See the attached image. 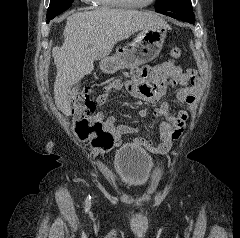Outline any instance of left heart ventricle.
Listing matches in <instances>:
<instances>
[{"label":"left heart ventricle","instance_id":"obj_1","mask_svg":"<svg viewBox=\"0 0 240 238\" xmlns=\"http://www.w3.org/2000/svg\"><path fill=\"white\" fill-rule=\"evenodd\" d=\"M129 1L145 3V2H148L149 0H129Z\"/></svg>","mask_w":240,"mask_h":238}]
</instances>
